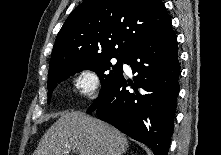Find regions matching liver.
<instances>
[{
  "label": "liver",
  "mask_w": 221,
  "mask_h": 155,
  "mask_svg": "<svg viewBox=\"0 0 221 155\" xmlns=\"http://www.w3.org/2000/svg\"><path fill=\"white\" fill-rule=\"evenodd\" d=\"M128 140L116 128L83 112L72 111L61 117L41 138L33 155H122Z\"/></svg>",
  "instance_id": "liver-1"
}]
</instances>
